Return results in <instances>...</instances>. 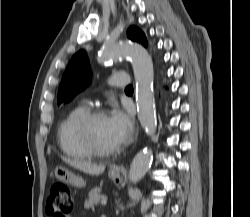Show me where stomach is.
Returning a JSON list of instances; mask_svg holds the SVG:
<instances>
[{"label":"stomach","instance_id":"0dacf381","mask_svg":"<svg viewBox=\"0 0 250 217\" xmlns=\"http://www.w3.org/2000/svg\"><path fill=\"white\" fill-rule=\"evenodd\" d=\"M54 176L58 180L66 184L75 186L77 188H82V187H85L86 185V182L82 178L75 176L72 172H70L67 168L63 166H58L55 168ZM108 176L113 182H117L121 180V175L119 172H115V173L109 172Z\"/></svg>","mask_w":250,"mask_h":217}]
</instances>
